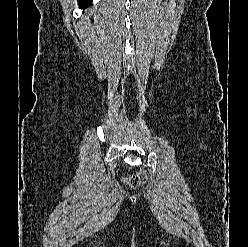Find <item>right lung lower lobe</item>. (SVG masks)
<instances>
[{"label":"right lung lower lobe","mask_w":248,"mask_h":247,"mask_svg":"<svg viewBox=\"0 0 248 247\" xmlns=\"http://www.w3.org/2000/svg\"><path fill=\"white\" fill-rule=\"evenodd\" d=\"M80 8H86L92 3V0H78Z\"/></svg>","instance_id":"1"}]
</instances>
